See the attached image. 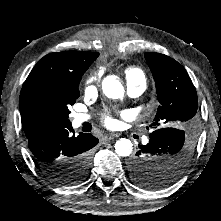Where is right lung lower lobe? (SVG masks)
Listing matches in <instances>:
<instances>
[{
    "instance_id": "1",
    "label": "right lung lower lobe",
    "mask_w": 221,
    "mask_h": 221,
    "mask_svg": "<svg viewBox=\"0 0 221 221\" xmlns=\"http://www.w3.org/2000/svg\"><path fill=\"white\" fill-rule=\"evenodd\" d=\"M71 123L45 127L28 137V146L36 166L52 181L72 185L82 179L66 166L76 158H83L86 168L90 164V149L98 139L90 133L72 135Z\"/></svg>"
}]
</instances>
